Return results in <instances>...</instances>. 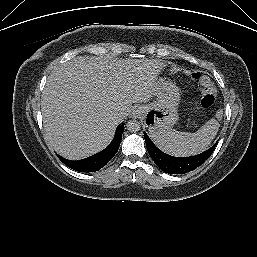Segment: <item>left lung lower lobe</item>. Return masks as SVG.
I'll list each match as a JSON object with an SVG mask.
<instances>
[{
  "mask_svg": "<svg viewBox=\"0 0 257 257\" xmlns=\"http://www.w3.org/2000/svg\"><path fill=\"white\" fill-rule=\"evenodd\" d=\"M144 138L152 160L163 172L169 174H184L196 169L211 156L217 144L215 143L210 149L195 156L174 157L158 149L146 133H144Z\"/></svg>",
  "mask_w": 257,
  "mask_h": 257,
  "instance_id": "1",
  "label": "left lung lower lobe"
}]
</instances>
